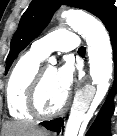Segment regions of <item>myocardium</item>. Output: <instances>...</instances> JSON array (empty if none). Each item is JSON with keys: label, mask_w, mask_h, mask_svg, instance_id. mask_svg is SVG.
Masks as SVG:
<instances>
[{"label": "myocardium", "mask_w": 117, "mask_h": 136, "mask_svg": "<svg viewBox=\"0 0 117 136\" xmlns=\"http://www.w3.org/2000/svg\"><path fill=\"white\" fill-rule=\"evenodd\" d=\"M44 76H45V69H40L38 73L36 74L29 88L27 105H28V110L30 111L32 115L38 118L48 119V118H52V117L58 116L61 113H63L69 105L70 97H69V94H67L65 96V99L62 105L58 109L52 112L43 111L39 103V93L43 85Z\"/></svg>", "instance_id": "myocardium-1"}]
</instances>
